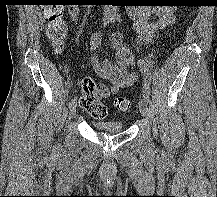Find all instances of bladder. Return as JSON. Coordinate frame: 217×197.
I'll list each match as a JSON object with an SVG mask.
<instances>
[{"label": "bladder", "mask_w": 217, "mask_h": 197, "mask_svg": "<svg viewBox=\"0 0 217 197\" xmlns=\"http://www.w3.org/2000/svg\"><path fill=\"white\" fill-rule=\"evenodd\" d=\"M93 127L101 132L108 134H116L123 131V125L120 121L110 120V121H94Z\"/></svg>", "instance_id": "obj_1"}]
</instances>
